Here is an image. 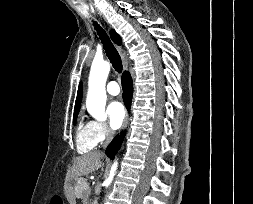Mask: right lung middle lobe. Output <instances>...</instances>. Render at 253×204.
<instances>
[{
  "mask_svg": "<svg viewBox=\"0 0 253 204\" xmlns=\"http://www.w3.org/2000/svg\"><path fill=\"white\" fill-rule=\"evenodd\" d=\"M76 118H77V115H74L73 116V123L75 124V122H76Z\"/></svg>",
  "mask_w": 253,
  "mask_h": 204,
  "instance_id": "obj_1",
  "label": "right lung middle lobe"
}]
</instances>
